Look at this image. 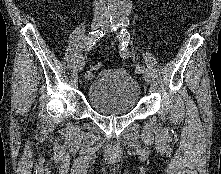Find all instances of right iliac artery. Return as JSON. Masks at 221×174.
Here are the masks:
<instances>
[{
  "label": "right iliac artery",
  "instance_id": "obj_1",
  "mask_svg": "<svg viewBox=\"0 0 221 174\" xmlns=\"http://www.w3.org/2000/svg\"><path fill=\"white\" fill-rule=\"evenodd\" d=\"M113 24V21H111V25ZM103 36V31H94L91 32L86 38H85V50L90 51L92 47L95 45V43ZM86 80H90L93 77V72L91 70H87L84 75Z\"/></svg>",
  "mask_w": 221,
  "mask_h": 174
}]
</instances>
